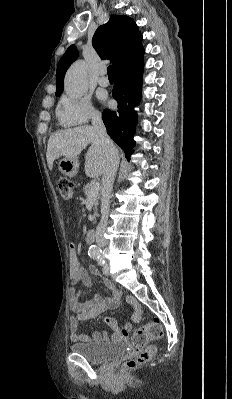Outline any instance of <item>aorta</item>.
Segmentation results:
<instances>
[{"label": "aorta", "instance_id": "aorta-1", "mask_svg": "<svg viewBox=\"0 0 232 399\" xmlns=\"http://www.w3.org/2000/svg\"><path fill=\"white\" fill-rule=\"evenodd\" d=\"M64 89L72 98L84 95L87 90V66L84 61H78L69 68L64 80ZM89 253L97 256L100 254V249L97 246H91Z\"/></svg>", "mask_w": 232, "mask_h": 399}]
</instances>
